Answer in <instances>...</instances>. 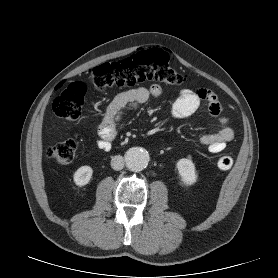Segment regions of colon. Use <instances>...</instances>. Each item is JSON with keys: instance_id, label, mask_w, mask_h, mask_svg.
Instances as JSON below:
<instances>
[{"instance_id": "obj_1", "label": "colon", "mask_w": 278, "mask_h": 278, "mask_svg": "<svg viewBox=\"0 0 278 278\" xmlns=\"http://www.w3.org/2000/svg\"><path fill=\"white\" fill-rule=\"evenodd\" d=\"M147 81L181 85L184 77L170 65L169 54L161 48L143 50L123 60L101 64L92 70V85L99 91L113 86L133 87ZM86 91L84 83L68 85L54 100L55 115L70 122H78ZM76 151L77 142L69 139L49 147L47 154L60 164H68L74 159ZM232 165L233 158L229 155H222L217 160V166L222 170H228Z\"/></svg>"}]
</instances>
